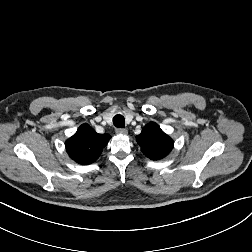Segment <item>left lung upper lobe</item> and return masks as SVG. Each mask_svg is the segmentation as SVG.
<instances>
[{"label":"left lung upper lobe","instance_id":"obj_1","mask_svg":"<svg viewBox=\"0 0 252 252\" xmlns=\"http://www.w3.org/2000/svg\"><path fill=\"white\" fill-rule=\"evenodd\" d=\"M136 141L142 153L152 160L164 158L173 148V140L155 122L148 123Z\"/></svg>","mask_w":252,"mask_h":252}]
</instances>
